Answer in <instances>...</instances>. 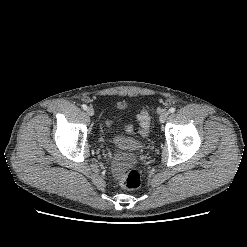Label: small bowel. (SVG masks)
Instances as JSON below:
<instances>
[{
  "instance_id": "1",
  "label": "small bowel",
  "mask_w": 247,
  "mask_h": 247,
  "mask_svg": "<svg viewBox=\"0 0 247 247\" xmlns=\"http://www.w3.org/2000/svg\"><path fill=\"white\" fill-rule=\"evenodd\" d=\"M124 167H125V160L122 158L117 159L113 165V172L117 178H119L122 175Z\"/></svg>"
}]
</instances>
